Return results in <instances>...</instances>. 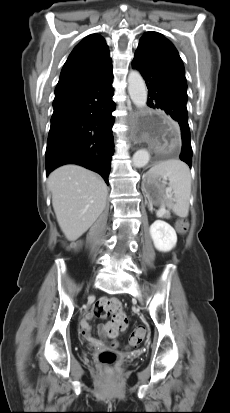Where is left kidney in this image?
<instances>
[{
	"mask_svg": "<svg viewBox=\"0 0 230 413\" xmlns=\"http://www.w3.org/2000/svg\"><path fill=\"white\" fill-rule=\"evenodd\" d=\"M150 235L157 250L168 252L177 242V235L173 227L162 220H156L150 226Z\"/></svg>",
	"mask_w": 230,
	"mask_h": 413,
	"instance_id": "obj_1",
	"label": "left kidney"
}]
</instances>
